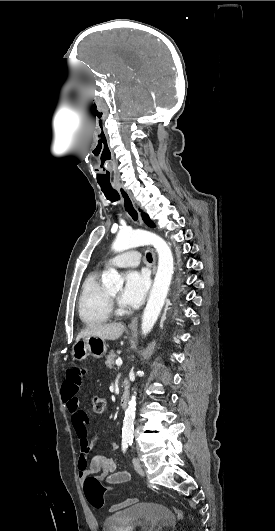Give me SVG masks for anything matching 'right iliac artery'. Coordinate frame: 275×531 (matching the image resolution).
<instances>
[{"mask_svg": "<svg viewBox=\"0 0 275 531\" xmlns=\"http://www.w3.org/2000/svg\"><path fill=\"white\" fill-rule=\"evenodd\" d=\"M128 443H129L128 440H122V450H123V452L126 451V449L128 447Z\"/></svg>", "mask_w": 275, "mask_h": 531, "instance_id": "right-iliac-artery-1", "label": "right iliac artery"}]
</instances>
